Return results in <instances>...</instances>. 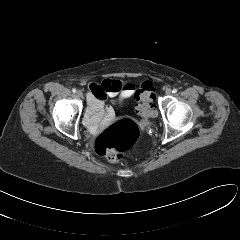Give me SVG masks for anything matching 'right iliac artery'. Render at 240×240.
Masks as SVG:
<instances>
[{"mask_svg": "<svg viewBox=\"0 0 240 240\" xmlns=\"http://www.w3.org/2000/svg\"><path fill=\"white\" fill-rule=\"evenodd\" d=\"M72 92H73V93H75V92H76V89H75V88H73V89H72Z\"/></svg>", "mask_w": 240, "mask_h": 240, "instance_id": "obj_1", "label": "right iliac artery"}]
</instances>
